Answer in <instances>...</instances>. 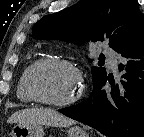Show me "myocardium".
Returning <instances> with one entry per match:
<instances>
[{"mask_svg":"<svg viewBox=\"0 0 144 137\" xmlns=\"http://www.w3.org/2000/svg\"><path fill=\"white\" fill-rule=\"evenodd\" d=\"M49 66H63V67L69 68L76 74L79 80V88H78L77 93L73 97L65 101H53V100H49L43 97L38 92L35 86L36 75L38 74L40 70ZM26 88L30 96L36 102H39L41 104L51 106V107H67V106H71L75 104L81 98L83 91H84V83H83V77L79 68L72 62L68 60H64V59H59V58H45V59L39 60L30 69L28 76H27Z\"/></svg>","mask_w":144,"mask_h":137,"instance_id":"myocardium-1","label":"myocardium"}]
</instances>
